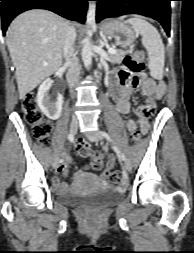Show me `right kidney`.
I'll list each match as a JSON object with an SVG mask.
<instances>
[{
  "instance_id": "1",
  "label": "right kidney",
  "mask_w": 194,
  "mask_h": 253,
  "mask_svg": "<svg viewBox=\"0 0 194 253\" xmlns=\"http://www.w3.org/2000/svg\"><path fill=\"white\" fill-rule=\"evenodd\" d=\"M52 81L46 79L39 87L37 94V104L42 113L49 119L56 120L60 117L63 105V96L58 94L56 97L49 95Z\"/></svg>"
}]
</instances>
